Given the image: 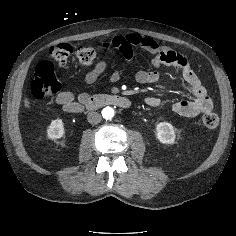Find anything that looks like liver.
I'll return each instance as SVG.
<instances>
[{
  "instance_id": "1",
  "label": "liver",
  "mask_w": 236,
  "mask_h": 236,
  "mask_svg": "<svg viewBox=\"0 0 236 236\" xmlns=\"http://www.w3.org/2000/svg\"><path fill=\"white\" fill-rule=\"evenodd\" d=\"M31 103L28 98H24V106L29 109L31 106Z\"/></svg>"
}]
</instances>
